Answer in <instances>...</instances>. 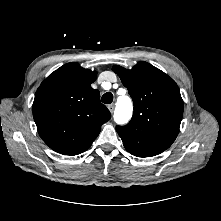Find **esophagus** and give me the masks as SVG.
Returning <instances> with one entry per match:
<instances>
[{
  "label": "esophagus",
  "instance_id": "34e87169",
  "mask_svg": "<svg viewBox=\"0 0 221 221\" xmlns=\"http://www.w3.org/2000/svg\"><path fill=\"white\" fill-rule=\"evenodd\" d=\"M108 109H109V111L112 113L113 111H114V109H115V105L112 103V104H109L108 105Z\"/></svg>",
  "mask_w": 221,
  "mask_h": 221
}]
</instances>
